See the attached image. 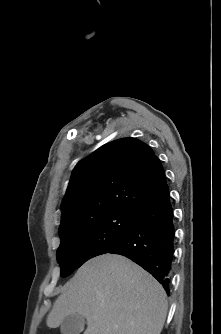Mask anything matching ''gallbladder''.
<instances>
[{
	"label": "gallbladder",
	"mask_w": 221,
	"mask_h": 334,
	"mask_svg": "<svg viewBox=\"0 0 221 334\" xmlns=\"http://www.w3.org/2000/svg\"><path fill=\"white\" fill-rule=\"evenodd\" d=\"M85 319L80 314H71L61 323L62 334H80L84 330Z\"/></svg>",
	"instance_id": "1"
}]
</instances>
